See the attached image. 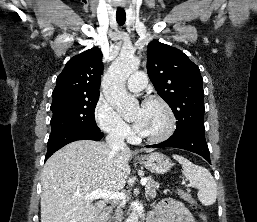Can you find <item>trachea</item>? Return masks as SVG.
I'll return each instance as SVG.
<instances>
[{"label":"trachea","mask_w":257,"mask_h":222,"mask_svg":"<svg viewBox=\"0 0 257 222\" xmlns=\"http://www.w3.org/2000/svg\"><path fill=\"white\" fill-rule=\"evenodd\" d=\"M116 20H117V23L120 26H123L125 21H126V13H125V11L117 10V12H116Z\"/></svg>","instance_id":"trachea-1"}]
</instances>
